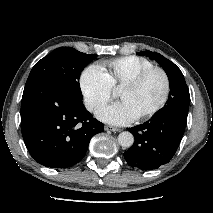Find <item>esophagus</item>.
<instances>
[{"label": "esophagus", "mask_w": 213, "mask_h": 213, "mask_svg": "<svg viewBox=\"0 0 213 213\" xmlns=\"http://www.w3.org/2000/svg\"><path fill=\"white\" fill-rule=\"evenodd\" d=\"M104 129H105L106 131H112V132H120V131H121V129H119V128H117V127L110 126V125H106V126L104 127Z\"/></svg>", "instance_id": "34e87169"}]
</instances>
